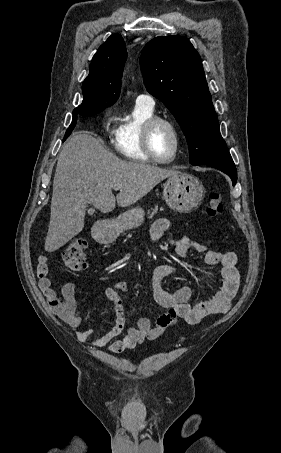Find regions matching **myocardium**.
<instances>
[{
    "instance_id": "myocardium-1",
    "label": "myocardium",
    "mask_w": 281,
    "mask_h": 453,
    "mask_svg": "<svg viewBox=\"0 0 281 453\" xmlns=\"http://www.w3.org/2000/svg\"><path fill=\"white\" fill-rule=\"evenodd\" d=\"M164 126L166 127L172 134L174 138L173 142V152L172 155L167 159L160 158L154 149V136L156 131L159 127ZM181 136L180 132L177 129L176 125L165 118L162 117H154L146 122L143 131V146L145 153L149 158L158 162L160 164H169L172 163L178 155L179 147H180Z\"/></svg>"
}]
</instances>
